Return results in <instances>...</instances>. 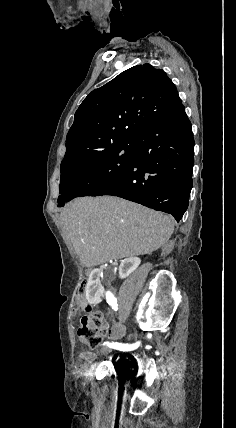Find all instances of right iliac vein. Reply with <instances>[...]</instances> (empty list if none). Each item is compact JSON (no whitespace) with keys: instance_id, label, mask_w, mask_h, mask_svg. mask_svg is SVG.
<instances>
[{"instance_id":"right-iliac-vein-1","label":"right iliac vein","mask_w":236,"mask_h":428,"mask_svg":"<svg viewBox=\"0 0 236 428\" xmlns=\"http://www.w3.org/2000/svg\"><path fill=\"white\" fill-rule=\"evenodd\" d=\"M110 347V346H109ZM108 346H102V355L103 356H107L108 354H111V351L113 350V349H110Z\"/></svg>"}]
</instances>
